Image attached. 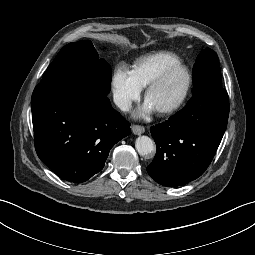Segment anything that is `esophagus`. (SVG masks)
Returning <instances> with one entry per match:
<instances>
[{
    "label": "esophagus",
    "instance_id": "esophagus-1",
    "mask_svg": "<svg viewBox=\"0 0 255 255\" xmlns=\"http://www.w3.org/2000/svg\"><path fill=\"white\" fill-rule=\"evenodd\" d=\"M131 129L135 135H141L145 132V128L140 125H132Z\"/></svg>",
    "mask_w": 255,
    "mask_h": 255
}]
</instances>
